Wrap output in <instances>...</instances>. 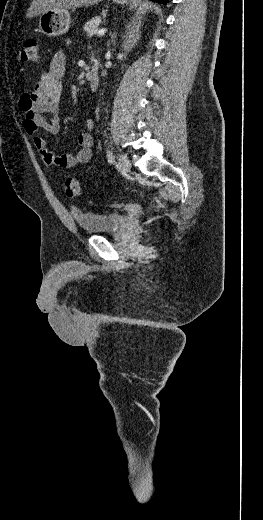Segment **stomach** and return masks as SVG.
Here are the masks:
<instances>
[{"instance_id": "obj_1", "label": "stomach", "mask_w": 263, "mask_h": 520, "mask_svg": "<svg viewBox=\"0 0 263 520\" xmlns=\"http://www.w3.org/2000/svg\"><path fill=\"white\" fill-rule=\"evenodd\" d=\"M114 3L124 5L127 0H113ZM71 17L68 9H51L39 17V29L49 37L60 36L68 32Z\"/></svg>"}]
</instances>
